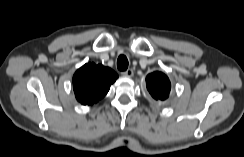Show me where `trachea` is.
Returning a JSON list of instances; mask_svg holds the SVG:
<instances>
[{"instance_id":"3493384b","label":"trachea","mask_w":244,"mask_h":157,"mask_svg":"<svg viewBox=\"0 0 244 157\" xmlns=\"http://www.w3.org/2000/svg\"><path fill=\"white\" fill-rule=\"evenodd\" d=\"M117 68L120 71H125L128 68V59L125 55H120L117 59Z\"/></svg>"}]
</instances>
